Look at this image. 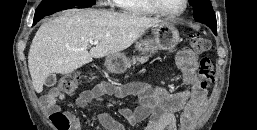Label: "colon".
<instances>
[{"label":"colon","mask_w":257,"mask_h":130,"mask_svg":"<svg viewBox=\"0 0 257 130\" xmlns=\"http://www.w3.org/2000/svg\"><path fill=\"white\" fill-rule=\"evenodd\" d=\"M190 44L194 52L202 53L209 48V42L206 38L193 34L190 37ZM199 76L201 78V88L206 90L210 88L215 79V71L212 61L208 57H202L199 64ZM82 79L80 72H75L62 77L54 88L57 93L72 94L78 89ZM51 122L57 130H69L70 118L61 111H56L50 116Z\"/></svg>","instance_id":"obj_1"}]
</instances>
